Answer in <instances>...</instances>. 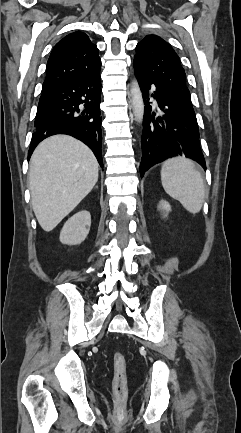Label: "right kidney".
Here are the masks:
<instances>
[{"instance_id": "right-kidney-1", "label": "right kidney", "mask_w": 241, "mask_h": 433, "mask_svg": "<svg viewBox=\"0 0 241 433\" xmlns=\"http://www.w3.org/2000/svg\"><path fill=\"white\" fill-rule=\"evenodd\" d=\"M91 215L88 211L82 210L67 220L60 232V242L67 245L82 243L90 230Z\"/></svg>"}]
</instances>
